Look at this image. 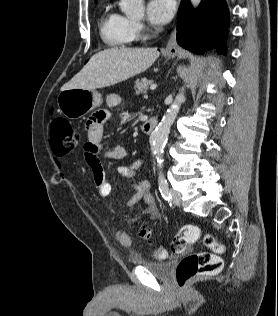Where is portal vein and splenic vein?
<instances>
[{
    "instance_id": "1",
    "label": "portal vein and splenic vein",
    "mask_w": 278,
    "mask_h": 316,
    "mask_svg": "<svg viewBox=\"0 0 278 316\" xmlns=\"http://www.w3.org/2000/svg\"><path fill=\"white\" fill-rule=\"evenodd\" d=\"M157 88V84H151L150 89L155 90Z\"/></svg>"
}]
</instances>
